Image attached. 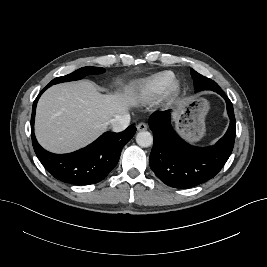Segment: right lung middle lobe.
Segmentation results:
<instances>
[{"instance_id": "dd1d6c3e", "label": "right lung middle lobe", "mask_w": 267, "mask_h": 267, "mask_svg": "<svg viewBox=\"0 0 267 267\" xmlns=\"http://www.w3.org/2000/svg\"><path fill=\"white\" fill-rule=\"evenodd\" d=\"M103 72H105V69L101 68V67H83V68H80V69L74 71L73 73L66 75V76L57 77V78L53 79L48 84V86L50 87L51 85L62 83V82L79 80L86 75L100 74Z\"/></svg>"}]
</instances>
